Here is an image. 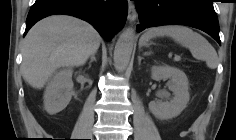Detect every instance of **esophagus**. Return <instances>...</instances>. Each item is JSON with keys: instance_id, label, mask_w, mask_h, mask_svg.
Wrapping results in <instances>:
<instances>
[{"instance_id": "1", "label": "esophagus", "mask_w": 236, "mask_h": 140, "mask_svg": "<svg viewBox=\"0 0 236 140\" xmlns=\"http://www.w3.org/2000/svg\"><path fill=\"white\" fill-rule=\"evenodd\" d=\"M127 19L130 23H133L137 19V11H136L135 5L131 1H129V4H128Z\"/></svg>"}]
</instances>
